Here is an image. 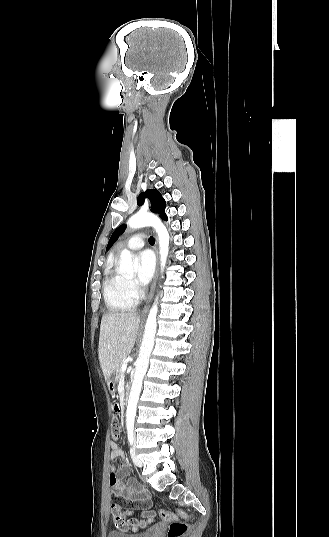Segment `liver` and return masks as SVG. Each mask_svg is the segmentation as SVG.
Returning a JSON list of instances; mask_svg holds the SVG:
<instances>
[{"mask_svg":"<svg viewBox=\"0 0 329 537\" xmlns=\"http://www.w3.org/2000/svg\"><path fill=\"white\" fill-rule=\"evenodd\" d=\"M140 319L135 313H112L101 320L99 361L105 380L116 371L119 363L132 351Z\"/></svg>","mask_w":329,"mask_h":537,"instance_id":"obj_1","label":"liver"}]
</instances>
